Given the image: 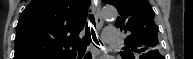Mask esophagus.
Segmentation results:
<instances>
[{
	"instance_id": "obj_1",
	"label": "esophagus",
	"mask_w": 193,
	"mask_h": 59,
	"mask_svg": "<svg viewBox=\"0 0 193 59\" xmlns=\"http://www.w3.org/2000/svg\"><path fill=\"white\" fill-rule=\"evenodd\" d=\"M93 5H94V10H95V15H96V22H97V27L100 29L103 25V20L99 15L100 11V2L98 0H93ZM94 42V41H93ZM95 43V42H94ZM96 44V43H95Z\"/></svg>"
}]
</instances>
